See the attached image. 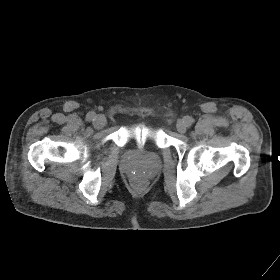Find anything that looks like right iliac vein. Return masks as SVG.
<instances>
[{
  "instance_id": "1",
  "label": "right iliac vein",
  "mask_w": 280,
  "mask_h": 280,
  "mask_svg": "<svg viewBox=\"0 0 280 280\" xmlns=\"http://www.w3.org/2000/svg\"><path fill=\"white\" fill-rule=\"evenodd\" d=\"M106 118L102 115L96 116L93 124L97 129H101L106 125Z\"/></svg>"
}]
</instances>
